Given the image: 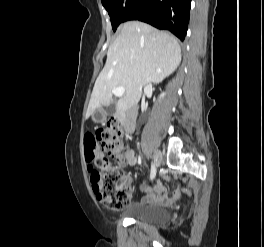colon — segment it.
<instances>
[{"instance_id": "colon-1", "label": "colon", "mask_w": 264, "mask_h": 247, "mask_svg": "<svg viewBox=\"0 0 264 247\" xmlns=\"http://www.w3.org/2000/svg\"><path fill=\"white\" fill-rule=\"evenodd\" d=\"M123 135L121 125L111 120L105 127L85 137V157L94 166L89 167L93 192L110 210L126 208L131 202V191L128 181L121 169L111 166L105 154L115 161H121L122 149L120 138Z\"/></svg>"}]
</instances>
